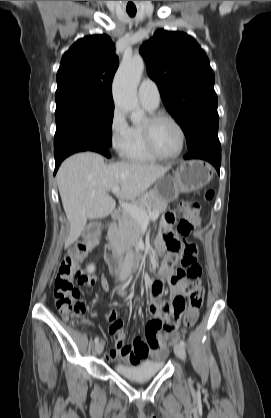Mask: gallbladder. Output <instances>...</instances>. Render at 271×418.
Here are the masks:
<instances>
[{"label":"gallbladder","instance_id":"obj_1","mask_svg":"<svg viewBox=\"0 0 271 418\" xmlns=\"http://www.w3.org/2000/svg\"><path fill=\"white\" fill-rule=\"evenodd\" d=\"M90 230H91L92 232H94V233H97V232H98V230H99V223H98L97 221H93V222L91 223V228H90Z\"/></svg>","mask_w":271,"mask_h":418}]
</instances>
